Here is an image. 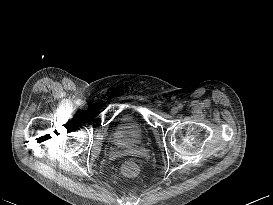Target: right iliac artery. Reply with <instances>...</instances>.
Instances as JSON below:
<instances>
[{
    "label": "right iliac artery",
    "instance_id": "1",
    "mask_svg": "<svg viewBox=\"0 0 273 205\" xmlns=\"http://www.w3.org/2000/svg\"><path fill=\"white\" fill-rule=\"evenodd\" d=\"M77 104L79 105V104H80V102H79V101H77Z\"/></svg>",
    "mask_w": 273,
    "mask_h": 205
}]
</instances>
